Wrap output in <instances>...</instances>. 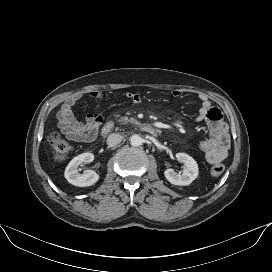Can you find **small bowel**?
<instances>
[{"label": "small bowel", "mask_w": 272, "mask_h": 272, "mask_svg": "<svg viewBox=\"0 0 272 272\" xmlns=\"http://www.w3.org/2000/svg\"><path fill=\"white\" fill-rule=\"evenodd\" d=\"M172 94L174 97H179L182 91L174 90ZM90 96L96 100L106 97L103 92L97 90L92 91ZM124 96L135 103L140 101V95L137 93L126 92ZM80 98V95H72L64 101L57 113V123L68 139L77 143H90L96 139L103 117L99 113H89L84 121H78L73 114V107ZM199 99L201 107L196 120L206 122L209 129L208 137L200 143L199 149L209 164H218L228 156L230 147L228 127L217 107L212 106L204 95H199Z\"/></svg>", "instance_id": "obj_1"}]
</instances>
